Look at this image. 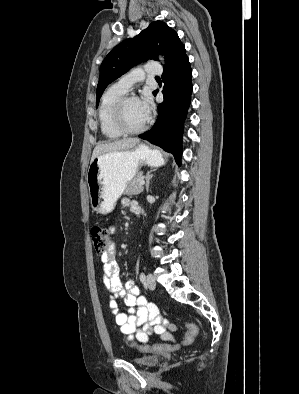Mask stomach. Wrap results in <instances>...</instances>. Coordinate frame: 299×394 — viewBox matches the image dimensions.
<instances>
[{
  "instance_id": "0dacf381",
  "label": "stomach",
  "mask_w": 299,
  "mask_h": 394,
  "mask_svg": "<svg viewBox=\"0 0 299 394\" xmlns=\"http://www.w3.org/2000/svg\"><path fill=\"white\" fill-rule=\"evenodd\" d=\"M164 163L162 154L145 144H139L126 151L108 152L94 158L87 171V185L93 211L101 214L111 212L141 165L158 167Z\"/></svg>"
}]
</instances>
